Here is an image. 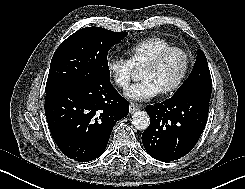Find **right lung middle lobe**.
Returning a JSON list of instances; mask_svg holds the SVG:
<instances>
[{"mask_svg": "<svg viewBox=\"0 0 245 189\" xmlns=\"http://www.w3.org/2000/svg\"><path fill=\"white\" fill-rule=\"evenodd\" d=\"M126 35V32L87 27L69 36L52 57L46 95L78 87L99 76L110 77L108 51Z\"/></svg>", "mask_w": 245, "mask_h": 189, "instance_id": "1", "label": "right lung middle lobe"}]
</instances>
